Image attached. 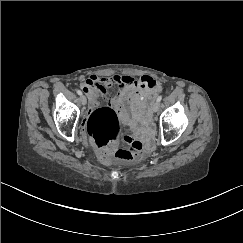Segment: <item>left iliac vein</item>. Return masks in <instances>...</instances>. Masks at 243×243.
<instances>
[{
  "instance_id": "left-iliac-vein-1",
  "label": "left iliac vein",
  "mask_w": 243,
  "mask_h": 243,
  "mask_svg": "<svg viewBox=\"0 0 243 243\" xmlns=\"http://www.w3.org/2000/svg\"><path fill=\"white\" fill-rule=\"evenodd\" d=\"M159 108H160V103L156 101L153 104L152 110H153V112H158Z\"/></svg>"
}]
</instances>
